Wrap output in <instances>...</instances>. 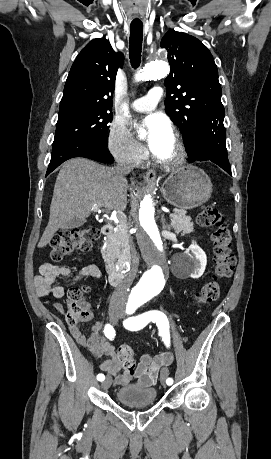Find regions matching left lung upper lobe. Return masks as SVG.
Listing matches in <instances>:
<instances>
[{
  "label": "left lung upper lobe",
  "instance_id": "1",
  "mask_svg": "<svg viewBox=\"0 0 271 459\" xmlns=\"http://www.w3.org/2000/svg\"><path fill=\"white\" fill-rule=\"evenodd\" d=\"M161 47L167 49L171 67L165 110L180 128L190 157L199 148L201 129L224 119L217 66L205 45L186 33L168 31Z\"/></svg>",
  "mask_w": 271,
  "mask_h": 459
}]
</instances>
